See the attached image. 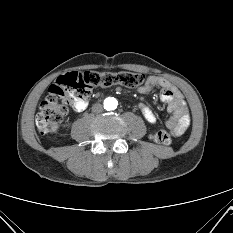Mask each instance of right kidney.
Segmentation results:
<instances>
[{
  "label": "right kidney",
  "instance_id": "obj_1",
  "mask_svg": "<svg viewBox=\"0 0 233 233\" xmlns=\"http://www.w3.org/2000/svg\"><path fill=\"white\" fill-rule=\"evenodd\" d=\"M57 126H53L52 128H51V132H55L56 130H57Z\"/></svg>",
  "mask_w": 233,
  "mask_h": 233
}]
</instances>
